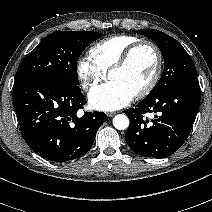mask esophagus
Wrapping results in <instances>:
<instances>
[{"mask_svg": "<svg viewBox=\"0 0 212 212\" xmlns=\"http://www.w3.org/2000/svg\"><path fill=\"white\" fill-rule=\"evenodd\" d=\"M115 114H116L115 112H108V113H107V116H108V117H113V116H115Z\"/></svg>", "mask_w": 212, "mask_h": 212, "instance_id": "obj_1", "label": "esophagus"}]
</instances>
